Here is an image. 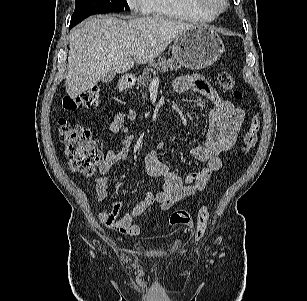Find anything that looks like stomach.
<instances>
[{
    "label": "stomach",
    "instance_id": "stomach-1",
    "mask_svg": "<svg viewBox=\"0 0 307 301\" xmlns=\"http://www.w3.org/2000/svg\"><path fill=\"white\" fill-rule=\"evenodd\" d=\"M225 52L220 36L205 26H193L180 33L173 42L172 55L179 65L202 69L212 65ZM124 86L119 84V88Z\"/></svg>",
    "mask_w": 307,
    "mask_h": 301
}]
</instances>
